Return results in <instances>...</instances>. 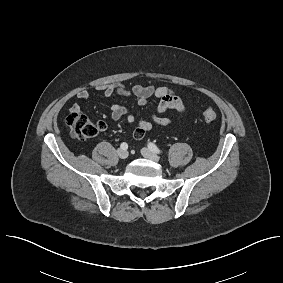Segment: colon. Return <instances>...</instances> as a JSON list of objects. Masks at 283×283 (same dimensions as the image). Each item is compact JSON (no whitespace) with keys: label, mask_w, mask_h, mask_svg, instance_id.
<instances>
[{"label":"colon","mask_w":283,"mask_h":283,"mask_svg":"<svg viewBox=\"0 0 283 283\" xmlns=\"http://www.w3.org/2000/svg\"><path fill=\"white\" fill-rule=\"evenodd\" d=\"M202 116L206 122H213L217 119V113L211 109L204 110ZM67 124L72 136L78 140L92 138L96 136L100 130L105 128V123H94L80 112H72L67 117Z\"/></svg>","instance_id":"5ec220e1"}]
</instances>
